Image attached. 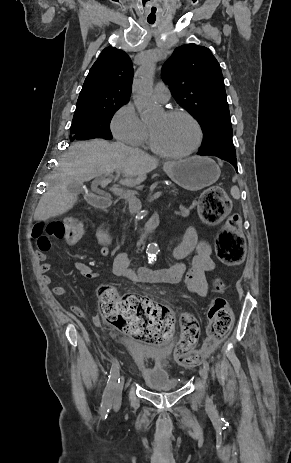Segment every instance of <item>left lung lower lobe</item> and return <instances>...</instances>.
<instances>
[{
  "label": "left lung lower lobe",
  "mask_w": 291,
  "mask_h": 463,
  "mask_svg": "<svg viewBox=\"0 0 291 463\" xmlns=\"http://www.w3.org/2000/svg\"><path fill=\"white\" fill-rule=\"evenodd\" d=\"M198 155H211V156L219 157L220 159H223L231 163L235 167L236 171L238 172L237 160H236V156L234 155H220V154L207 153V152H202V151H198Z\"/></svg>",
  "instance_id": "0a47b994"
}]
</instances>
